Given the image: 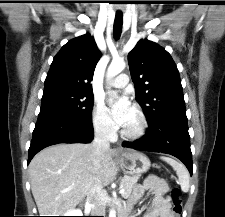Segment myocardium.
Here are the masks:
<instances>
[{
    "instance_id": "f54148a6",
    "label": "myocardium",
    "mask_w": 225,
    "mask_h": 217,
    "mask_svg": "<svg viewBox=\"0 0 225 217\" xmlns=\"http://www.w3.org/2000/svg\"><path fill=\"white\" fill-rule=\"evenodd\" d=\"M132 110L134 111V113L137 115V118H138L137 126L133 130H128L126 128H123L121 130V134L126 139L137 140L142 138L145 135L148 128V121L144 111L139 105L134 104L132 106Z\"/></svg>"
}]
</instances>
